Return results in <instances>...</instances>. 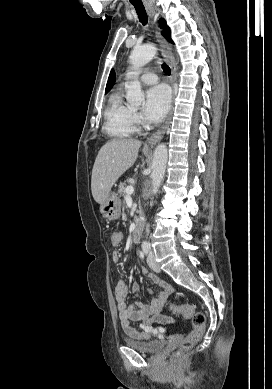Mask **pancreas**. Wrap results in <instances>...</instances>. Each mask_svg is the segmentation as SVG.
<instances>
[{"instance_id":"obj_1","label":"pancreas","mask_w":272,"mask_h":389,"mask_svg":"<svg viewBox=\"0 0 272 389\" xmlns=\"http://www.w3.org/2000/svg\"><path fill=\"white\" fill-rule=\"evenodd\" d=\"M126 182H127L130 186H132V185L135 184V182H134L131 178H128L125 182L121 183V184L119 185V194H120L121 196H125Z\"/></svg>"}]
</instances>
